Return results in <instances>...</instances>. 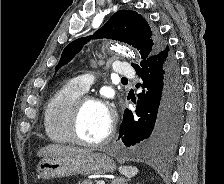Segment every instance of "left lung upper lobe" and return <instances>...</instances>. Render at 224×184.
<instances>
[{
	"label": "left lung upper lobe",
	"instance_id": "left-lung-upper-lobe-1",
	"mask_svg": "<svg viewBox=\"0 0 224 184\" xmlns=\"http://www.w3.org/2000/svg\"><path fill=\"white\" fill-rule=\"evenodd\" d=\"M93 37L111 38L134 46L140 50L141 58L143 59L141 66H144L150 57L163 51L166 47L164 42L153 34L147 21L140 14L131 10H119L114 13ZM88 40L80 38L67 45L56 70L61 65L68 63ZM132 66L135 69L140 68L137 64L132 63Z\"/></svg>",
	"mask_w": 224,
	"mask_h": 184
}]
</instances>
